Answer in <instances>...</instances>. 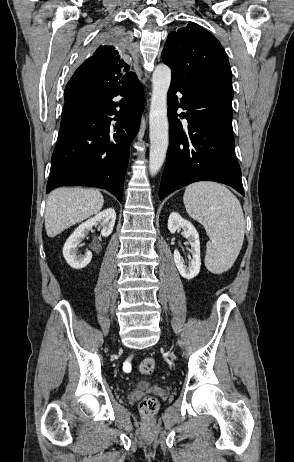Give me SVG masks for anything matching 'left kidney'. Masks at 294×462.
Here are the masks:
<instances>
[{
	"label": "left kidney",
	"mask_w": 294,
	"mask_h": 462,
	"mask_svg": "<svg viewBox=\"0 0 294 462\" xmlns=\"http://www.w3.org/2000/svg\"><path fill=\"white\" fill-rule=\"evenodd\" d=\"M179 228L184 230L185 237L191 246L190 253L192 258L190 259L189 266H187L179 251L175 250L174 262L181 276L190 280L199 274L201 267L199 234L191 222L182 218L180 214L172 212L168 219V229L171 233H175Z\"/></svg>",
	"instance_id": "left-kidney-1"
}]
</instances>
